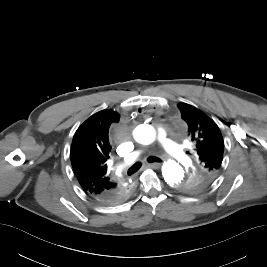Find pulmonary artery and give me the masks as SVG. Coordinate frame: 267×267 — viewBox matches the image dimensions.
<instances>
[{
    "mask_svg": "<svg viewBox=\"0 0 267 267\" xmlns=\"http://www.w3.org/2000/svg\"><path fill=\"white\" fill-rule=\"evenodd\" d=\"M157 140L158 143L160 144V146L164 149V151L178 159V160H184L185 159V155L183 153L182 148L177 145L176 143H174L172 140H170L167 137V134L164 130L160 129L157 133ZM139 152H132L129 155H127L125 157L124 163L122 164V167H125L131 163H133L138 157H139Z\"/></svg>",
    "mask_w": 267,
    "mask_h": 267,
    "instance_id": "obj_1",
    "label": "pulmonary artery"
}]
</instances>
